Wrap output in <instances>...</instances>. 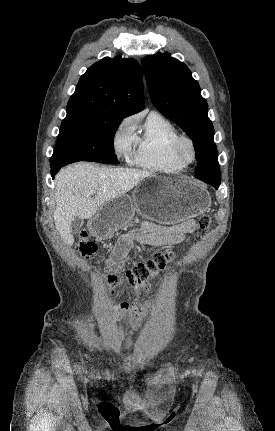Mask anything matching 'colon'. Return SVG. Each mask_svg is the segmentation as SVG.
<instances>
[{"label":"colon","mask_w":275,"mask_h":431,"mask_svg":"<svg viewBox=\"0 0 275 431\" xmlns=\"http://www.w3.org/2000/svg\"><path fill=\"white\" fill-rule=\"evenodd\" d=\"M211 224L209 216H201L198 220L199 228L207 229ZM78 250L83 256H91L96 250V244L87 236H83L78 243ZM173 259V252H159L153 255L151 259L145 262L136 264L132 269L128 270L123 276L109 275L106 277L112 291L126 281L132 286H141L148 289L150 281L155 278L160 272L164 271L168 263Z\"/></svg>","instance_id":"1"}]
</instances>
